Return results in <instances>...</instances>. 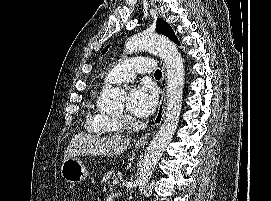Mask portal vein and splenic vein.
<instances>
[{
    "mask_svg": "<svg viewBox=\"0 0 271 201\" xmlns=\"http://www.w3.org/2000/svg\"><path fill=\"white\" fill-rule=\"evenodd\" d=\"M119 183V180L118 179H115L114 181H113V185H116V184H118Z\"/></svg>",
    "mask_w": 271,
    "mask_h": 201,
    "instance_id": "1",
    "label": "portal vein and splenic vein"
}]
</instances>
